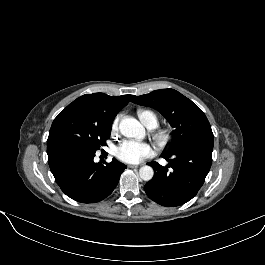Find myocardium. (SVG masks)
Wrapping results in <instances>:
<instances>
[{"label": "myocardium", "instance_id": "myocardium-1", "mask_svg": "<svg viewBox=\"0 0 265 265\" xmlns=\"http://www.w3.org/2000/svg\"><path fill=\"white\" fill-rule=\"evenodd\" d=\"M153 139L159 147H164L170 140V132L165 129H158L154 132Z\"/></svg>", "mask_w": 265, "mask_h": 265}]
</instances>
